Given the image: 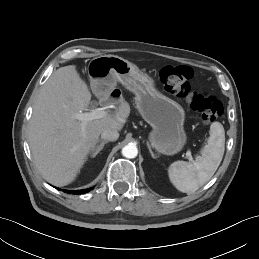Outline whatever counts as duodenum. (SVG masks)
Returning <instances> with one entry per match:
<instances>
[{"label": "duodenum", "mask_w": 259, "mask_h": 259, "mask_svg": "<svg viewBox=\"0 0 259 259\" xmlns=\"http://www.w3.org/2000/svg\"><path fill=\"white\" fill-rule=\"evenodd\" d=\"M121 96V93L118 89L112 90L106 97L102 98V103H112L117 101Z\"/></svg>", "instance_id": "1"}]
</instances>
